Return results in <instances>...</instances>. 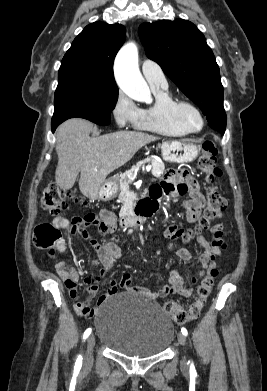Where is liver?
<instances>
[{
  "mask_svg": "<svg viewBox=\"0 0 267 391\" xmlns=\"http://www.w3.org/2000/svg\"><path fill=\"white\" fill-rule=\"evenodd\" d=\"M92 130L93 124L81 118L69 119L58 127L55 181L62 189H71L80 172L79 189L94 200L106 177L157 137L144 132L118 131L91 138Z\"/></svg>",
  "mask_w": 267,
  "mask_h": 391,
  "instance_id": "obj_1",
  "label": "liver"
}]
</instances>
